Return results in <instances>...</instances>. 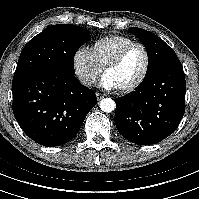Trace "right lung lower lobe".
Listing matches in <instances>:
<instances>
[{"label": "right lung lower lobe", "mask_w": 199, "mask_h": 199, "mask_svg": "<svg viewBox=\"0 0 199 199\" xmlns=\"http://www.w3.org/2000/svg\"><path fill=\"white\" fill-rule=\"evenodd\" d=\"M12 91L17 122L29 138L46 147L60 146L73 139L97 103L92 89L74 76L56 71L15 77Z\"/></svg>", "instance_id": "obj_1"}]
</instances>
